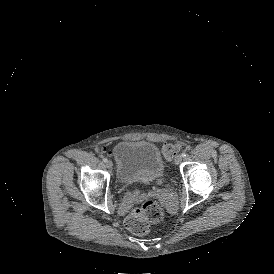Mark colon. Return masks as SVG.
I'll return each mask as SVG.
<instances>
[{
    "label": "colon",
    "mask_w": 274,
    "mask_h": 274,
    "mask_svg": "<svg viewBox=\"0 0 274 274\" xmlns=\"http://www.w3.org/2000/svg\"><path fill=\"white\" fill-rule=\"evenodd\" d=\"M177 147L180 150H187L190 147V140L187 137H180L177 140ZM173 142H165L162 145V152L168 158H175L178 155V148ZM165 211L162 206L154 200L145 199L139 207L129 214L124 221L125 228L133 235H145L152 224L163 220Z\"/></svg>",
    "instance_id": "5ec220e1"
}]
</instances>
